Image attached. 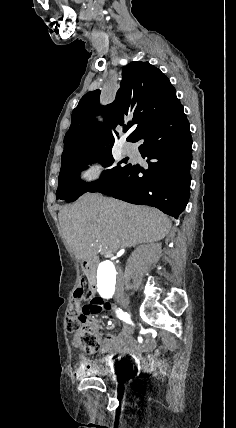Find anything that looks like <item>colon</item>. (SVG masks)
<instances>
[{
    "instance_id": "1",
    "label": "colon",
    "mask_w": 236,
    "mask_h": 428,
    "mask_svg": "<svg viewBox=\"0 0 236 428\" xmlns=\"http://www.w3.org/2000/svg\"><path fill=\"white\" fill-rule=\"evenodd\" d=\"M108 306L94 296L87 277H83L76 286L71 307L65 320L66 331L72 334V344L88 354L98 351L101 336L93 316L103 313Z\"/></svg>"
}]
</instances>
